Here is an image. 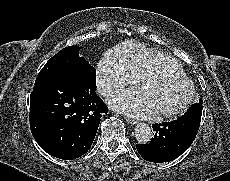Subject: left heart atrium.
<instances>
[{
	"label": "left heart atrium",
	"mask_w": 230,
	"mask_h": 181,
	"mask_svg": "<svg viewBox=\"0 0 230 181\" xmlns=\"http://www.w3.org/2000/svg\"><path fill=\"white\" fill-rule=\"evenodd\" d=\"M143 90L137 88L128 89L112 97L109 100L110 105L133 117H150L156 113V109L143 96Z\"/></svg>",
	"instance_id": "obj_1"
}]
</instances>
